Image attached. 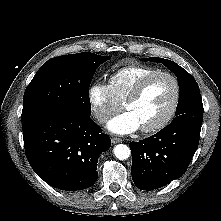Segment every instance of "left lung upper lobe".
<instances>
[{
  "label": "left lung upper lobe",
  "mask_w": 221,
  "mask_h": 221,
  "mask_svg": "<svg viewBox=\"0 0 221 221\" xmlns=\"http://www.w3.org/2000/svg\"><path fill=\"white\" fill-rule=\"evenodd\" d=\"M144 61H155L164 64L176 76L179 84V100L176 108V117L173 122L196 118L203 120V104L200 97L199 86L195 79L177 63L163 58L150 57Z\"/></svg>",
  "instance_id": "1"
}]
</instances>
